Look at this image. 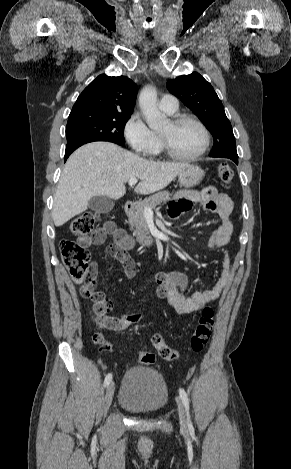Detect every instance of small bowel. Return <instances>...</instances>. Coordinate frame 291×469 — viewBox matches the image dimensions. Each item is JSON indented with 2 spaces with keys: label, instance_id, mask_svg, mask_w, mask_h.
I'll list each match as a JSON object with an SVG mask.
<instances>
[{
  "label": "small bowel",
  "instance_id": "c3829d8e",
  "mask_svg": "<svg viewBox=\"0 0 291 469\" xmlns=\"http://www.w3.org/2000/svg\"><path fill=\"white\" fill-rule=\"evenodd\" d=\"M194 203H201L205 210L217 214L220 224L210 234L207 246L210 249H223L225 258L223 262L222 274L217 283L207 289L195 291L186 296L185 290L188 286V278L181 271L159 272L155 276V295L159 298H166L170 305L178 314H188L198 311L208 303L216 300L230 282L231 263L228 251L225 246L228 244L233 232L231 214L233 204L231 199L219 192L215 187H206L201 191L184 190L176 194L175 199L169 205V215L173 219H178L188 211ZM107 235H113L114 245L119 247L127 256V251L134 245V240L113 222H107L101 229V238L93 244H101ZM113 256V255H112ZM121 261L117 256H114ZM140 319L137 311L126 314L122 317L112 318L110 327L113 331H123Z\"/></svg>",
  "mask_w": 291,
  "mask_h": 469
}]
</instances>
